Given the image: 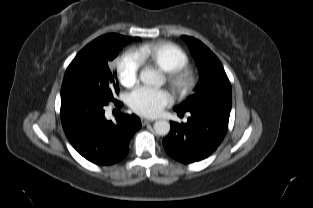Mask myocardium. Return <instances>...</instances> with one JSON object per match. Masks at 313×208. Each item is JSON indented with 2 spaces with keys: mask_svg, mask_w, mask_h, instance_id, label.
Masks as SVG:
<instances>
[{
  "mask_svg": "<svg viewBox=\"0 0 313 208\" xmlns=\"http://www.w3.org/2000/svg\"><path fill=\"white\" fill-rule=\"evenodd\" d=\"M168 81L177 93L182 96L189 94L196 85L194 73L185 68L168 73Z\"/></svg>",
  "mask_w": 313,
  "mask_h": 208,
  "instance_id": "1",
  "label": "myocardium"
}]
</instances>
